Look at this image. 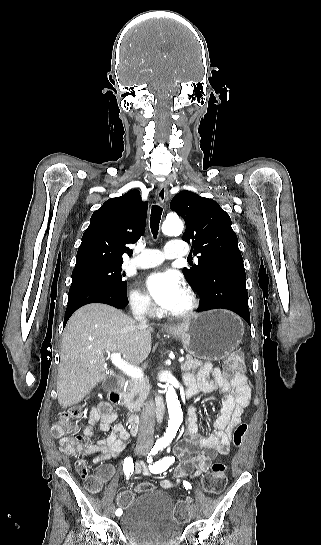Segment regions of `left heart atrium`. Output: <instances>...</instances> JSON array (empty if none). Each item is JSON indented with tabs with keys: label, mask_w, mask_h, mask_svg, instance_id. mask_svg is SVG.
<instances>
[{
	"label": "left heart atrium",
	"mask_w": 321,
	"mask_h": 545,
	"mask_svg": "<svg viewBox=\"0 0 321 545\" xmlns=\"http://www.w3.org/2000/svg\"><path fill=\"white\" fill-rule=\"evenodd\" d=\"M145 287L157 308L161 312L169 313L184 288V282L176 271H157L146 278Z\"/></svg>",
	"instance_id": "left-heart-atrium-1"
}]
</instances>
